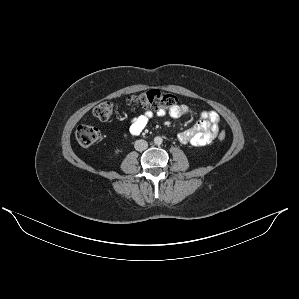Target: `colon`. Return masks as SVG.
<instances>
[{
  "label": "colon",
  "instance_id": "1",
  "mask_svg": "<svg viewBox=\"0 0 299 299\" xmlns=\"http://www.w3.org/2000/svg\"><path fill=\"white\" fill-rule=\"evenodd\" d=\"M178 103L175 95L158 89H151L142 93L131 95L127 98L126 104L134 109H149L153 111H164L174 108ZM115 110V104L112 101H102L93 109V115L101 120H109ZM100 138L99 130L90 125H81L76 130V139L82 146H90L96 143ZM226 138L225 132L218 134L220 141Z\"/></svg>",
  "mask_w": 299,
  "mask_h": 299
}]
</instances>
